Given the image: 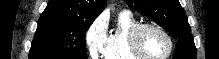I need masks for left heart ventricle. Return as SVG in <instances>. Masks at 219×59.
I'll return each instance as SVG.
<instances>
[{
    "label": "left heart ventricle",
    "instance_id": "obj_1",
    "mask_svg": "<svg viewBox=\"0 0 219 59\" xmlns=\"http://www.w3.org/2000/svg\"><path fill=\"white\" fill-rule=\"evenodd\" d=\"M140 44L143 52L150 57H162L169 49V44L165 36L152 28H148L142 32Z\"/></svg>",
    "mask_w": 219,
    "mask_h": 59
}]
</instances>
